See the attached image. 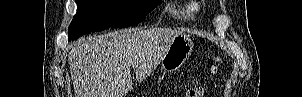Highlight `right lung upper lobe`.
<instances>
[{
  "mask_svg": "<svg viewBox=\"0 0 302 97\" xmlns=\"http://www.w3.org/2000/svg\"><path fill=\"white\" fill-rule=\"evenodd\" d=\"M151 1H161V0H151Z\"/></svg>",
  "mask_w": 302,
  "mask_h": 97,
  "instance_id": "obj_1",
  "label": "right lung upper lobe"
}]
</instances>
